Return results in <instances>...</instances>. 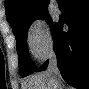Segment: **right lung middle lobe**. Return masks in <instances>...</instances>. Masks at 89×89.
Instances as JSON below:
<instances>
[{
    "instance_id": "obj_1",
    "label": "right lung middle lobe",
    "mask_w": 89,
    "mask_h": 89,
    "mask_svg": "<svg viewBox=\"0 0 89 89\" xmlns=\"http://www.w3.org/2000/svg\"><path fill=\"white\" fill-rule=\"evenodd\" d=\"M36 19H45L46 22L50 25L51 30L55 27L56 23H54L48 13V10L40 12L34 16L25 18L24 20L15 24L13 28V32L17 41V52L19 57V70L20 74L23 77H26L33 72L36 71L37 67L32 62L28 48H27V33L29 26Z\"/></svg>"
}]
</instances>
